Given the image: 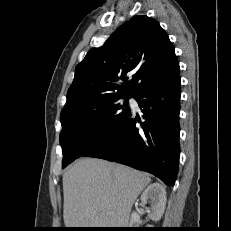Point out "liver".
<instances>
[{"label":"liver","instance_id":"1","mask_svg":"<svg viewBox=\"0 0 231 231\" xmlns=\"http://www.w3.org/2000/svg\"><path fill=\"white\" fill-rule=\"evenodd\" d=\"M150 181L124 165L78 160L63 174L66 228H127L132 205Z\"/></svg>","mask_w":231,"mask_h":231}]
</instances>
